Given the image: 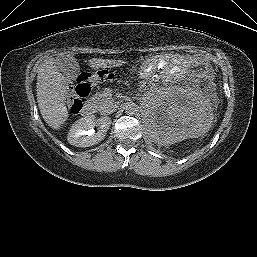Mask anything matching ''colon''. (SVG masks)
Returning a JSON list of instances; mask_svg holds the SVG:
<instances>
[{"mask_svg":"<svg viewBox=\"0 0 257 257\" xmlns=\"http://www.w3.org/2000/svg\"><path fill=\"white\" fill-rule=\"evenodd\" d=\"M195 58L201 63H205L209 60V56L204 53L196 54ZM113 76L114 74L108 70H101L94 74L82 73L78 78L77 86L71 98V111H78L81 104L80 99L86 97L96 84L109 81Z\"/></svg>","mask_w":257,"mask_h":257,"instance_id":"5ec220e1","label":"colon"}]
</instances>
